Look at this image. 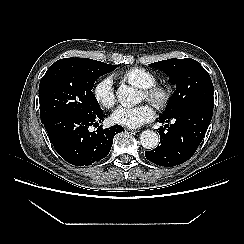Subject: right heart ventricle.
<instances>
[{
    "label": "right heart ventricle",
    "mask_w": 244,
    "mask_h": 244,
    "mask_svg": "<svg viewBox=\"0 0 244 244\" xmlns=\"http://www.w3.org/2000/svg\"><path fill=\"white\" fill-rule=\"evenodd\" d=\"M122 78L141 89L149 88L156 83V76L144 68H131L122 73Z\"/></svg>",
    "instance_id": "right-heart-ventricle-1"
}]
</instances>
